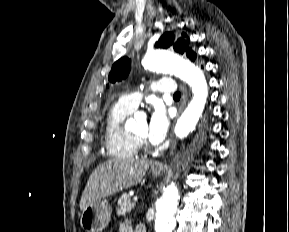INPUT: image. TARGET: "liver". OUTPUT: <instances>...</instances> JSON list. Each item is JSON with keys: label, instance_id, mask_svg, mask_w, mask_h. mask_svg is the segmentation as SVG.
<instances>
[{"label": "liver", "instance_id": "obj_1", "mask_svg": "<svg viewBox=\"0 0 289 232\" xmlns=\"http://www.w3.org/2000/svg\"><path fill=\"white\" fill-rule=\"evenodd\" d=\"M151 162L139 159H110L90 175L80 200V210L95 201L137 185Z\"/></svg>", "mask_w": 289, "mask_h": 232}]
</instances>
